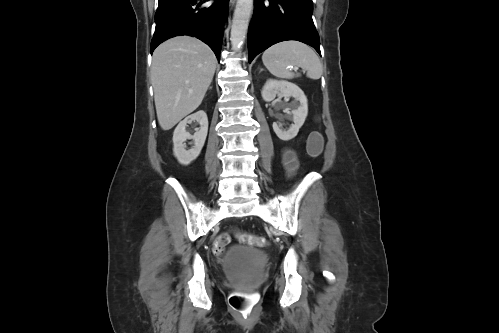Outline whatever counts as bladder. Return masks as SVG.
Wrapping results in <instances>:
<instances>
[{
    "label": "bladder",
    "instance_id": "bladder-1",
    "mask_svg": "<svg viewBox=\"0 0 499 333\" xmlns=\"http://www.w3.org/2000/svg\"><path fill=\"white\" fill-rule=\"evenodd\" d=\"M264 261L265 254L256 248L233 247L227 254L226 272L241 283H253Z\"/></svg>",
    "mask_w": 499,
    "mask_h": 333
}]
</instances>
